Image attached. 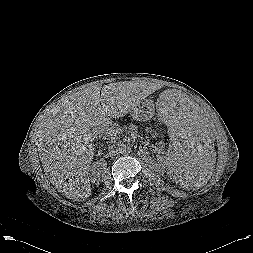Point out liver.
I'll use <instances>...</instances> for the list:
<instances>
[{
  "instance_id": "1",
  "label": "liver",
  "mask_w": 253,
  "mask_h": 253,
  "mask_svg": "<svg viewBox=\"0 0 253 253\" xmlns=\"http://www.w3.org/2000/svg\"><path fill=\"white\" fill-rule=\"evenodd\" d=\"M153 91L142 82L91 85L54 107L40 123L38 149L45 174L59 192L77 202L91 195V129L105 126L111 118L125 116Z\"/></svg>"
}]
</instances>
